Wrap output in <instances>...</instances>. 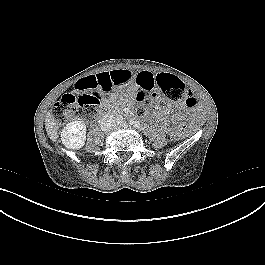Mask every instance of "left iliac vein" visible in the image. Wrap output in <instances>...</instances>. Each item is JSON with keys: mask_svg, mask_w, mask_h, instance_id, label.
<instances>
[{"mask_svg": "<svg viewBox=\"0 0 265 265\" xmlns=\"http://www.w3.org/2000/svg\"><path fill=\"white\" fill-rule=\"evenodd\" d=\"M121 124H122V125H124V126H126V125H127V123H126L125 121H123Z\"/></svg>", "mask_w": 265, "mask_h": 265, "instance_id": "4c4485c4", "label": "left iliac vein"}]
</instances>
